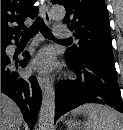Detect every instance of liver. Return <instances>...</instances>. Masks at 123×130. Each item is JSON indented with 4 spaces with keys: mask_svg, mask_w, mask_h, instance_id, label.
I'll return each mask as SVG.
<instances>
[{
    "mask_svg": "<svg viewBox=\"0 0 123 130\" xmlns=\"http://www.w3.org/2000/svg\"><path fill=\"white\" fill-rule=\"evenodd\" d=\"M23 117L18 106L1 93V130H20Z\"/></svg>",
    "mask_w": 123,
    "mask_h": 130,
    "instance_id": "1",
    "label": "liver"
}]
</instances>
